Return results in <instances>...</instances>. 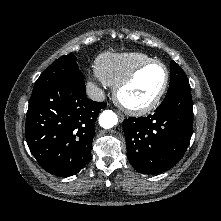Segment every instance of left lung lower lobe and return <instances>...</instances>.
<instances>
[{"instance_id":"0a47b994","label":"left lung lower lobe","mask_w":221,"mask_h":221,"mask_svg":"<svg viewBox=\"0 0 221 221\" xmlns=\"http://www.w3.org/2000/svg\"><path fill=\"white\" fill-rule=\"evenodd\" d=\"M129 162L143 174L162 173L177 164L193 133L190 87L166 96L153 115L123 122Z\"/></svg>"}]
</instances>
